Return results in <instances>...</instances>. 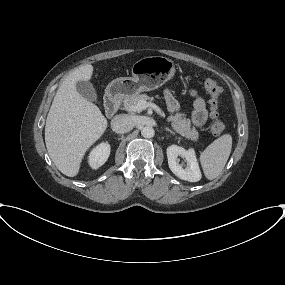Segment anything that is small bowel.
<instances>
[{
    "mask_svg": "<svg viewBox=\"0 0 285 285\" xmlns=\"http://www.w3.org/2000/svg\"><path fill=\"white\" fill-rule=\"evenodd\" d=\"M191 96L194 98V110L192 113V122L196 126H202L206 122L207 119V111H206V102L200 97L195 90L190 91ZM165 100L168 106V109L171 112H175L178 110L179 105L175 97L169 90L165 91Z\"/></svg>",
    "mask_w": 285,
    "mask_h": 285,
    "instance_id": "small-bowel-1",
    "label": "small bowel"
}]
</instances>
